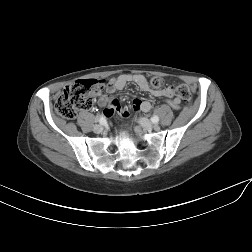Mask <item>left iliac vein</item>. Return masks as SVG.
Masks as SVG:
<instances>
[{
	"label": "left iliac vein",
	"mask_w": 252,
	"mask_h": 252,
	"mask_svg": "<svg viewBox=\"0 0 252 252\" xmlns=\"http://www.w3.org/2000/svg\"><path fill=\"white\" fill-rule=\"evenodd\" d=\"M139 124L148 131H151L153 128H155L156 126L153 125L149 120H147L146 118H139L138 120Z\"/></svg>",
	"instance_id": "obj_1"
}]
</instances>
